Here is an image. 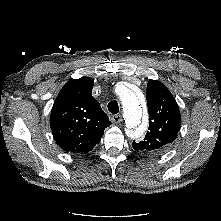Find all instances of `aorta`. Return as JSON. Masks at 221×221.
<instances>
[{
  "mask_svg": "<svg viewBox=\"0 0 221 221\" xmlns=\"http://www.w3.org/2000/svg\"><path fill=\"white\" fill-rule=\"evenodd\" d=\"M123 107L126 132L131 138H139L147 129L148 113L140 99L128 88L119 92Z\"/></svg>",
  "mask_w": 221,
  "mask_h": 221,
  "instance_id": "obj_1",
  "label": "aorta"
}]
</instances>
